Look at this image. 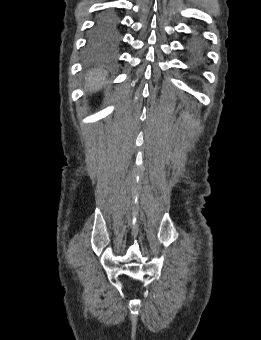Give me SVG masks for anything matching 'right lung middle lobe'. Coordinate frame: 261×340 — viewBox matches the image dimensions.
I'll return each instance as SVG.
<instances>
[{
    "instance_id": "right-lung-middle-lobe-1",
    "label": "right lung middle lobe",
    "mask_w": 261,
    "mask_h": 340,
    "mask_svg": "<svg viewBox=\"0 0 261 340\" xmlns=\"http://www.w3.org/2000/svg\"><path fill=\"white\" fill-rule=\"evenodd\" d=\"M118 18L115 14L105 12L99 16L90 33V43L103 44L118 37Z\"/></svg>"
}]
</instances>
